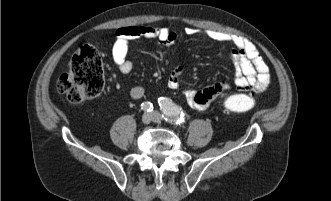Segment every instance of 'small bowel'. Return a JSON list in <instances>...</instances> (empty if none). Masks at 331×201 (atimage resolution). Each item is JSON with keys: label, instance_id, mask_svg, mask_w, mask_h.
Returning <instances> with one entry per match:
<instances>
[{"label": "small bowel", "instance_id": "small-bowel-1", "mask_svg": "<svg viewBox=\"0 0 331 201\" xmlns=\"http://www.w3.org/2000/svg\"><path fill=\"white\" fill-rule=\"evenodd\" d=\"M188 35H202L210 40L231 45V58L235 68L234 85L239 91L262 92L270 84V72L255 45L244 37L220 32L217 30H198L187 27ZM156 39L160 44L169 46L177 40V34L169 27L129 26L116 31V38L112 46V60L123 74L133 69V63L127 58L129 43L135 39ZM184 72L178 67L168 77V85L172 89L180 87V79ZM226 81H216L201 90L184 89L187 103L196 110H204L217 96L229 89ZM129 94L133 99H140L144 95V88L131 85Z\"/></svg>", "mask_w": 331, "mask_h": 201}]
</instances>
